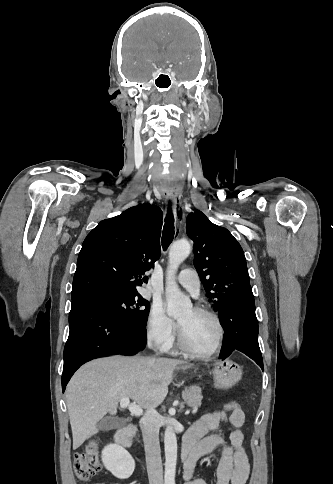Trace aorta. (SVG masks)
Segmentation results:
<instances>
[{
    "label": "aorta",
    "instance_id": "obj_1",
    "mask_svg": "<svg viewBox=\"0 0 333 484\" xmlns=\"http://www.w3.org/2000/svg\"><path fill=\"white\" fill-rule=\"evenodd\" d=\"M191 245L187 240L175 241L169 250V266L167 269L165 298L167 302L168 316H180L191 308L192 303L183 295L175 281V274L179 265L188 257ZM165 450V484H175L177 464V439L175 431L168 426L164 433Z\"/></svg>",
    "mask_w": 333,
    "mask_h": 484
}]
</instances>
